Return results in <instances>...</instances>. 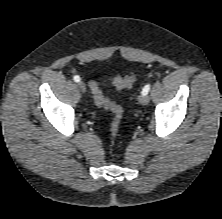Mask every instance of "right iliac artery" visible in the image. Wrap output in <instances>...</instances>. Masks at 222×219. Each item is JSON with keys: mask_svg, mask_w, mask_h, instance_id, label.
I'll list each match as a JSON object with an SVG mask.
<instances>
[{"mask_svg": "<svg viewBox=\"0 0 222 219\" xmlns=\"http://www.w3.org/2000/svg\"><path fill=\"white\" fill-rule=\"evenodd\" d=\"M73 79H74L75 82H79L80 81V77L78 75L74 76Z\"/></svg>", "mask_w": 222, "mask_h": 219, "instance_id": "obj_1", "label": "right iliac artery"}]
</instances>
